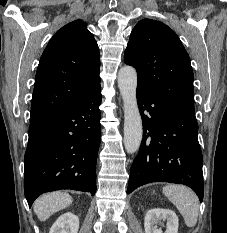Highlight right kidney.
Instances as JSON below:
<instances>
[{"label":"right kidney","instance_id":"1","mask_svg":"<svg viewBox=\"0 0 227 233\" xmlns=\"http://www.w3.org/2000/svg\"><path fill=\"white\" fill-rule=\"evenodd\" d=\"M79 218L71 212L62 214L50 228L49 233H78Z\"/></svg>","mask_w":227,"mask_h":233}]
</instances>
